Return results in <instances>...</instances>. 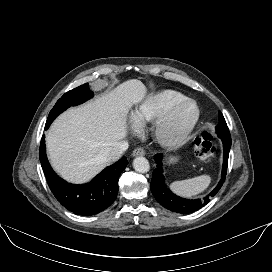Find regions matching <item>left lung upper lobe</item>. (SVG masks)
Segmentation results:
<instances>
[{
	"label": "left lung upper lobe",
	"mask_w": 272,
	"mask_h": 272,
	"mask_svg": "<svg viewBox=\"0 0 272 272\" xmlns=\"http://www.w3.org/2000/svg\"><path fill=\"white\" fill-rule=\"evenodd\" d=\"M216 132L222 140H231L228 126L221 112H219V123L216 127Z\"/></svg>",
	"instance_id": "1"
}]
</instances>
